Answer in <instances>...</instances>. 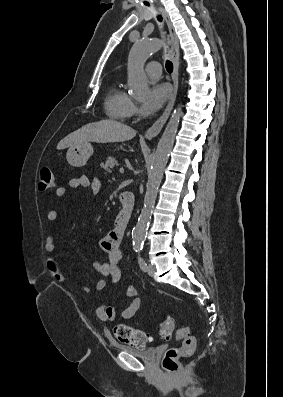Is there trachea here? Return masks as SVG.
Returning <instances> with one entry per match:
<instances>
[{"mask_svg":"<svg viewBox=\"0 0 283 397\" xmlns=\"http://www.w3.org/2000/svg\"><path fill=\"white\" fill-rule=\"evenodd\" d=\"M158 20L162 21V17L158 16ZM166 70L168 73H172L173 72V64L171 61L167 60L166 64H165Z\"/></svg>","mask_w":283,"mask_h":397,"instance_id":"1","label":"trachea"}]
</instances>
